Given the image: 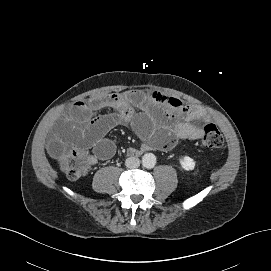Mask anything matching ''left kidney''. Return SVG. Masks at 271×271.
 I'll return each mask as SVG.
<instances>
[{"label":"left kidney","instance_id":"obj_1","mask_svg":"<svg viewBox=\"0 0 271 271\" xmlns=\"http://www.w3.org/2000/svg\"><path fill=\"white\" fill-rule=\"evenodd\" d=\"M181 167L186 171H191L195 168V161L189 156H184L179 159Z\"/></svg>","mask_w":271,"mask_h":271}]
</instances>
